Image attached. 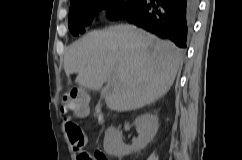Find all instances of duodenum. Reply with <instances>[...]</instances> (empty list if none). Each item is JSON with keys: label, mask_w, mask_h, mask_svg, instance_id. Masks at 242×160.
<instances>
[{"label": "duodenum", "mask_w": 242, "mask_h": 160, "mask_svg": "<svg viewBox=\"0 0 242 160\" xmlns=\"http://www.w3.org/2000/svg\"><path fill=\"white\" fill-rule=\"evenodd\" d=\"M102 117H103V111H102V108H101L100 106H98V107L96 108V111H95V118H96L97 120H101Z\"/></svg>", "instance_id": "1"}]
</instances>
